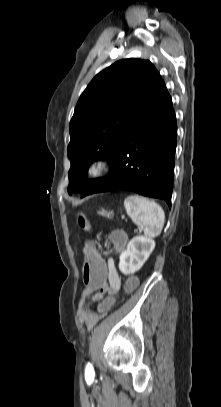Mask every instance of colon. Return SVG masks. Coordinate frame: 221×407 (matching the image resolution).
Here are the masks:
<instances>
[{
    "label": "colon",
    "instance_id": "1",
    "mask_svg": "<svg viewBox=\"0 0 221 407\" xmlns=\"http://www.w3.org/2000/svg\"><path fill=\"white\" fill-rule=\"evenodd\" d=\"M78 224L84 229L90 228L86 216L81 213L78 216ZM113 247L117 250L121 249L126 237L122 232H113L110 236ZM84 271L82 273L83 285L85 292H102V286L108 285L109 268L106 265V258H103L102 252H97L92 241L88 240L84 244ZM139 277L130 275L127 282L118 288V292H109L104 299L100 300L99 312L109 313L111 307H115L123 299V294L138 290Z\"/></svg>",
    "mask_w": 221,
    "mask_h": 407
}]
</instances>
